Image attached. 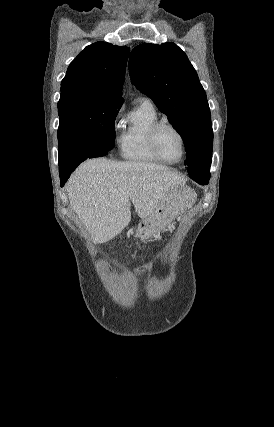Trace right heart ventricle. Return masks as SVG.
<instances>
[{"instance_id":"obj_1","label":"right heart ventricle","mask_w":274,"mask_h":427,"mask_svg":"<svg viewBox=\"0 0 274 427\" xmlns=\"http://www.w3.org/2000/svg\"><path fill=\"white\" fill-rule=\"evenodd\" d=\"M159 122L153 106L139 105L127 117L124 130L118 140L121 157L128 161L162 164L149 145L152 127Z\"/></svg>"}]
</instances>
